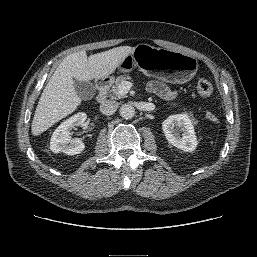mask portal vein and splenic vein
I'll list each match as a JSON object with an SVG mask.
<instances>
[{"instance_id":"18ae733b","label":"portal vein and splenic vein","mask_w":257,"mask_h":257,"mask_svg":"<svg viewBox=\"0 0 257 257\" xmlns=\"http://www.w3.org/2000/svg\"><path fill=\"white\" fill-rule=\"evenodd\" d=\"M132 87V83L129 81H124L119 85V93L120 94H127L129 92V90Z\"/></svg>"}]
</instances>
